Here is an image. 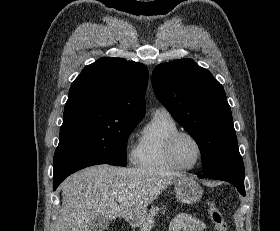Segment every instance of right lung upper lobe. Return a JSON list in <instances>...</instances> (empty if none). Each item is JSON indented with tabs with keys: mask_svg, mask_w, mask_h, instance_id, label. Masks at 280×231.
<instances>
[{
	"mask_svg": "<svg viewBox=\"0 0 280 231\" xmlns=\"http://www.w3.org/2000/svg\"><path fill=\"white\" fill-rule=\"evenodd\" d=\"M147 82L145 65L122 58H100L73 81L63 119L141 120Z\"/></svg>",
	"mask_w": 280,
	"mask_h": 231,
	"instance_id": "cb5924a9",
	"label": "right lung upper lobe"
}]
</instances>
